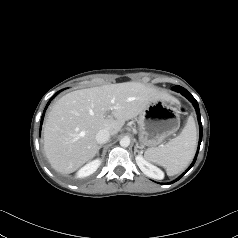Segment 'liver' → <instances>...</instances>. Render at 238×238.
Returning <instances> with one entry per match:
<instances>
[{"label":"liver","mask_w":238,"mask_h":238,"mask_svg":"<svg viewBox=\"0 0 238 238\" xmlns=\"http://www.w3.org/2000/svg\"><path fill=\"white\" fill-rule=\"evenodd\" d=\"M173 101L165 92L139 82L108 84L62 96L44 124V151L52 167L69 174L95 157L96 134L116 135L125 121L142 113L156 100Z\"/></svg>","instance_id":"6515ba94"}]
</instances>
